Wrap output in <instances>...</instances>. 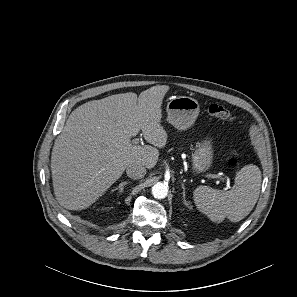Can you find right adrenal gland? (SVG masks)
Instances as JSON below:
<instances>
[{
    "label": "right adrenal gland",
    "mask_w": 297,
    "mask_h": 297,
    "mask_svg": "<svg viewBox=\"0 0 297 297\" xmlns=\"http://www.w3.org/2000/svg\"><path fill=\"white\" fill-rule=\"evenodd\" d=\"M129 183H130L129 181L121 182L118 187H116L115 189L112 190V192L118 190L119 193L121 194L123 192L124 186L129 184Z\"/></svg>",
    "instance_id": "obj_1"
}]
</instances>
